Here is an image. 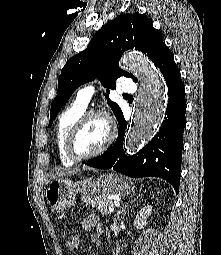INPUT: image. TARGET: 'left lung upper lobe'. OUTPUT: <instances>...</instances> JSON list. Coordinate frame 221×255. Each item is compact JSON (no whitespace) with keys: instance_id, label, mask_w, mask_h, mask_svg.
I'll return each instance as SVG.
<instances>
[{"instance_id":"obj_1","label":"left lung upper lobe","mask_w":221,"mask_h":255,"mask_svg":"<svg viewBox=\"0 0 221 255\" xmlns=\"http://www.w3.org/2000/svg\"><path fill=\"white\" fill-rule=\"evenodd\" d=\"M165 46L161 34L144 14H121L108 22L87 48L72 57L61 70L57 96L51 105L49 126L80 85L98 77L104 87L114 88L115 80L123 75L133 77L137 82L132 74L119 68L120 57L126 50H140L155 64ZM107 103L118 119L122 115L120 107L110 99Z\"/></svg>"}]
</instances>
